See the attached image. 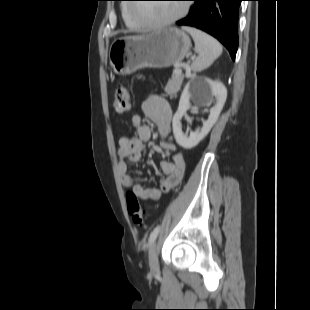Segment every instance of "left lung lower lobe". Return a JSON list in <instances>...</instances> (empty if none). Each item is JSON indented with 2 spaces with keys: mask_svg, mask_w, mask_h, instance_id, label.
Instances as JSON below:
<instances>
[{
  "mask_svg": "<svg viewBox=\"0 0 310 310\" xmlns=\"http://www.w3.org/2000/svg\"><path fill=\"white\" fill-rule=\"evenodd\" d=\"M189 15L176 22L201 29L217 38L234 60L238 48L237 23L243 0H191Z\"/></svg>",
  "mask_w": 310,
  "mask_h": 310,
  "instance_id": "obj_1",
  "label": "left lung lower lobe"
}]
</instances>
